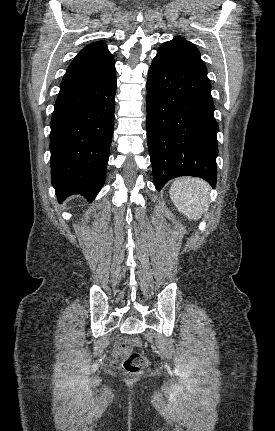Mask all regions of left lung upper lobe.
I'll return each mask as SVG.
<instances>
[{
	"label": "left lung upper lobe",
	"instance_id": "left-lung-upper-lobe-1",
	"mask_svg": "<svg viewBox=\"0 0 275 431\" xmlns=\"http://www.w3.org/2000/svg\"><path fill=\"white\" fill-rule=\"evenodd\" d=\"M162 45L175 48L176 50L184 54L189 59V61L192 62L208 79L207 71L201 59L200 52L191 42L186 41L185 39L180 37H175L173 40L165 42Z\"/></svg>",
	"mask_w": 275,
	"mask_h": 431
}]
</instances>
